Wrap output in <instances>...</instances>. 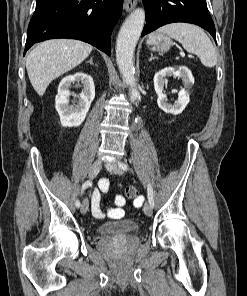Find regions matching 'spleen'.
<instances>
[{
	"label": "spleen",
	"mask_w": 247,
	"mask_h": 296,
	"mask_svg": "<svg viewBox=\"0 0 247 296\" xmlns=\"http://www.w3.org/2000/svg\"><path fill=\"white\" fill-rule=\"evenodd\" d=\"M179 41L184 49L197 55L205 67H214L217 53L206 33L198 26L188 23L167 24L157 30Z\"/></svg>",
	"instance_id": "spleen-1"
}]
</instances>
